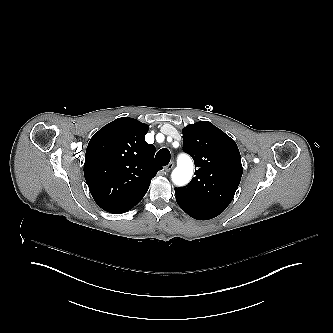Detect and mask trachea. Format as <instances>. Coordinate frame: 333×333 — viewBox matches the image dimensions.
I'll return each mask as SVG.
<instances>
[{
  "label": "trachea",
  "instance_id": "1",
  "mask_svg": "<svg viewBox=\"0 0 333 333\" xmlns=\"http://www.w3.org/2000/svg\"><path fill=\"white\" fill-rule=\"evenodd\" d=\"M170 151L166 148L159 150L155 156L156 161L165 166L170 162Z\"/></svg>",
  "mask_w": 333,
  "mask_h": 333
}]
</instances>
